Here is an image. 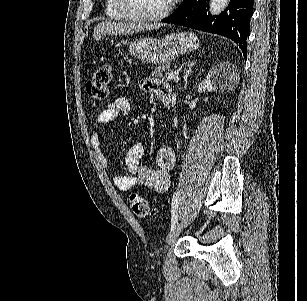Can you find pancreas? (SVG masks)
<instances>
[{"label": "pancreas", "mask_w": 307, "mask_h": 301, "mask_svg": "<svg viewBox=\"0 0 307 301\" xmlns=\"http://www.w3.org/2000/svg\"><path fill=\"white\" fill-rule=\"evenodd\" d=\"M173 72L172 68H170L169 64H159L156 66L155 70H152L151 76H155V78H164V80H174V78H167L166 74H170Z\"/></svg>", "instance_id": "1"}]
</instances>
